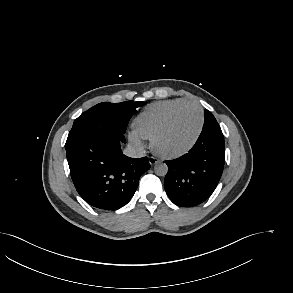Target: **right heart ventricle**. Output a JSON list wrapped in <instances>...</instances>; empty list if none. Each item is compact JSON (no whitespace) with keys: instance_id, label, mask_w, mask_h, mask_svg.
Here are the masks:
<instances>
[{"instance_id":"obj_1","label":"right heart ventricle","mask_w":293,"mask_h":293,"mask_svg":"<svg viewBox=\"0 0 293 293\" xmlns=\"http://www.w3.org/2000/svg\"><path fill=\"white\" fill-rule=\"evenodd\" d=\"M187 102H189L187 99L177 98L148 105L133 122L135 134L143 139H151L169 113L177 106Z\"/></svg>"}]
</instances>
